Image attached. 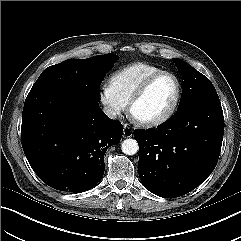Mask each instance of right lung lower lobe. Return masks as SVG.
<instances>
[{
  "mask_svg": "<svg viewBox=\"0 0 241 241\" xmlns=\"http://www.w3.org/2000/svg\"><path fill=\"white\" fill-rule=\"evenodd\" d=\"M21 133L37 176L54 189L79 193L102 179L104 154L120 142L123 126L78 89L48 85L29 92Z\"/></svg>",
  "mask_w": 241,
  "mask_h": 241,
  "instance_id": "98d812e1",
  "label": "right lung lower lobe"
}]
</instances>
